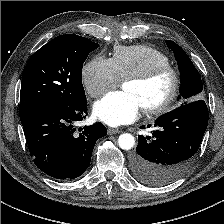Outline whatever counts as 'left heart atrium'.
Returning a JSON list of instances; mask_svg holds the SVG:
<instances>
[{"label":"left heart atrium","mask_w":224,"mask_h":224,"mask_svg":"<svg viewBox=\"0 0 224 224\" xmlns=\"http://www.w3.org/2000/svg\"><path fill=\"white\" fill-rule=\"evenodd\" d=\"M142 109L139 98L127 91L110 92L94 105V114L110 126L133 122Z\"/></svg>","instance_id":"obj_1"}]
</instances>
